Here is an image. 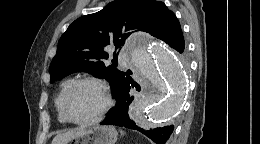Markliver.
<instances>
[{
	"instance_id": "1",
	"label": "liver",
	"mask_w": 260,
	"mask_h": 144,
	"mask_svg": "<svg viewBox=\"0 0 260 144\" xmlns=\"http://www.w3.org/2000/svg\"><path fill=\"white\" fill-rule=\"evenodd\" d=\"M84 130L85 129L83 128H78L62 134H58L57 136L54 137L51 144H67L71 139L81 134Z\"/></svg>"
}]
</instances>
